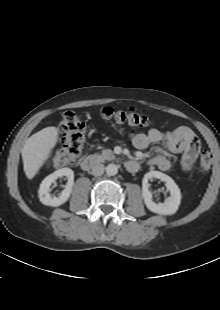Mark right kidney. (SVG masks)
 Instances as JSON below:
<instances>
[{
	"instance_id": "right-kidney-1",
	"label": "right kidney",
	"mask_w": 220,
	"mask_h": 310,
	"mask_svg": "<svg viewBox=\"0 0 220 310\" xmlns=\"http://www.w3.org/2000/svg\"><path fill=\"white\" fill-rule=\"evenodd\" d=\"M66 176L68 182L65 185V189L61 192L59 197H52L50 195V186L59 177ZM74 184V172L70 168H61L52 174L48 175L40 184L38 194L40 202L47 206L57 207L64 204L70 197L72 192V186Z\"/></svg>"
}]
</instances>
